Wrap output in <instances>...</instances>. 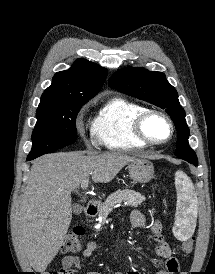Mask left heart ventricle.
<instances>
[{"label": "left heart ventricle", "instance_id": "left-heart-ventricle-1", "mask_svg": "<svg viewBox=\"0 0 215 274\" xmlns=\"http://www.w3.org/2000/svg\"><path fill=\"white\" fill-rule=\"evenodd\" d=\"M147 135L155 141H163L168 138L170 128L168 123L160 116H152L145 125Z\"/></svg>", "mask_w": 215, "mask_h": 274}]
</instances>
